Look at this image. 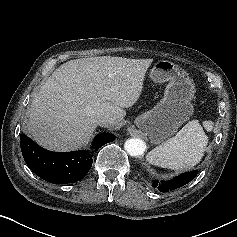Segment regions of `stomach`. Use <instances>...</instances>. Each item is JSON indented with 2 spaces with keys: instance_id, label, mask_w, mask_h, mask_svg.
Listing matches in <instances>:
<instances>
[{
  "instance_id": "0dacf381",
  "label": "stomach",
  "mask_w": 237,
  "mask_h": 237,
  "mask_svg": "<svg viewBox=\"0 0 237 237\" xmlns=\"http://www.w3.org/2000/svg\"><path fill=\"white\" fill-rule=\"evenodd\" d=\"M149 77L155 83L168 82L164 97L153 109L139 115L134 123L152 143L160 144L192 116L195 86L185 70L168 60L155 62Z\"/></svg>"
}]
</instances>
